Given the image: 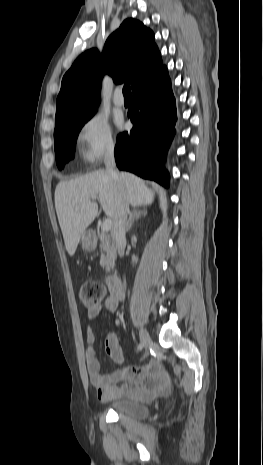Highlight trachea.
<instances>
[{
  "label": "trachea",
  "instance_id": "3493384b",
  "mask_svg": "<svg viewBox=\"0 0 263 465\" xmlns=\"http://www.w3.org/2000/svg\"><path fill=\"white\" fill-rule=\"evenodd\" d=\"M123 95L124 96H131V88H130V85H125L123 87Z\"/></svg>",
  "mask_w": 263,
  "mask_h": 465
}]
</instances>
